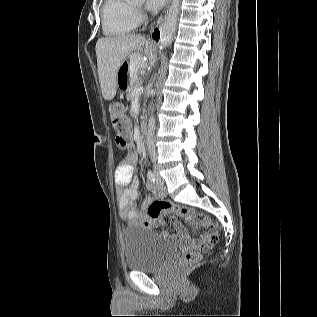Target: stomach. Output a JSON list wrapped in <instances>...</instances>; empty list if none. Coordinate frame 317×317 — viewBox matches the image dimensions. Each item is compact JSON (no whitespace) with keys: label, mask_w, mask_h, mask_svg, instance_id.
Instances as JSON below:
<instances>
[{"label":"stomach","mask_w":317,"mask_h":317,"mask_svg":"<svg viewBox=\"0 0 317 317\" xmlns=\"http://www.w3.org/2000/svg\"><path fill=\"white\" fill-rule=\"evenodd\" d=\"M144 65L143 55H125L122 59L119 70H117V78L114 86L116 94H128L127 87L132 86L134 82H139V74Z\"/></svg>","instance_id":"0dacf381"}]
</instances>
